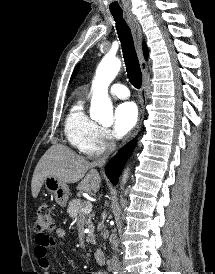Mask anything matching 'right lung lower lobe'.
I'll return each mask as SVG.
<instances>
[{"mask_svg":"<svg viewBox=\"0 0 215 274\" xmlns=\"http://www.w3.org/2000/svg\"><path fill=\"white\" fill-rule=\"evenodd\" d=\"M136 142L132 141L128 145H126L124 148H122L119 153L108 162L106 165L105 173L109 180L116 185L118 182V177L121 173V170L129 157L130 153L134 149Z\"/></svg>","mask_w":215,"mask_h":274,"instance_id":"right-lung-lower-lobe-1","label":"right lung lower lobe"}]
</instances>
